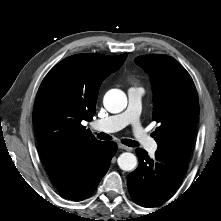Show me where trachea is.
I'll list each match as a JSON object with an SVG mask.
<instances>
[{"label": "trachea", "instance_id": "trachea-1", "mask_svg": "<svg viewBox=\"0 0 221 221\" xmlns=\"http://www.w3.org/2000/svg\"><path fill=\"white\" fill-rule=\"evenodd\" d=\"M97 138H99L101 140H111V136L106 133H103V132L97 134ZM121 142L129 147H137L138 146V143L136 141H133L130 139H122Z\"/></svg>", "mask_w": 221, "mask_h": 221}]
</instances>
